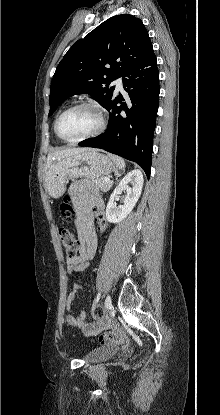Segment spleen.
I'll list each match as a JSON object with an SVG mask.
<instances>
[{
	"label": "spleen",
	"instance_id": "3e777b00",
	"mask_svg": "<svg viewBox=\"0 0 220 415\" xmlns=\"http://www.w3.org/2000/svg\"><path fill=\"white\" fill-rule=\"evenodd\" d=\"M108 157L116 164L117 167H119L120 169H124L125 168V161L124 159H122L121 157L117 156V155H113L108 153Z\"/></svg>",
	"mask_w": 220,
	"mask_h": 415
}]
</instances>
